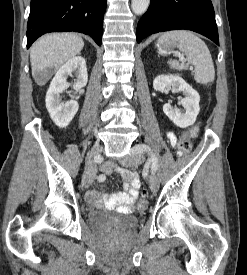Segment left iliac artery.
<instances>
[{
    "label": "left iliac artery",
    "mask_w": 247,
    "mask_h": 275,
    "mask_svg": "<svg viewBox=\"0 0 247 275\" xmlns=\"http://www.w3.org/2000/svg\"><path fill=\"white\" fill-rule=\"evenodd\" d=\"M137 150L140 153H143V152L151 153V158H150L151 169H152V172H156L157 169H158V160H157V157L154 154H152L151 149L149 148V146H147L145 144H140V145H138Z\"/></svg>",
    "instance_id": "obj_1"
}]
</instances>
